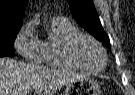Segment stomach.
Returning <instances> with one entry per match:
<instances>
[{
    "label": "stomach",
    "instance_id": "0dacf381",
    "mask_svg": "<svg viewBox=\"0 0 135 95\" xmlns=\"http://www.w3.org/2000/svg\"><path fill=\"white\" fill-rule=\"evenodd\" d=\"M64 95H100V86L93 78L84 76L68 84Z\"/></svg>",
    "mask_w": 135,
    "mask_h": 95
}]
</instances>
